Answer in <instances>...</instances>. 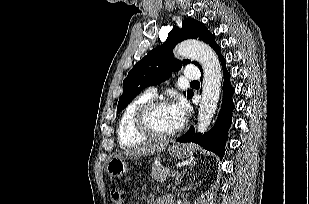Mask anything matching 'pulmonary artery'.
Here are the masks:
<instances>
[{
	"label": "pulmonary artery",
	"instance_id": "obj_1",
	"mask_svg": "<svg viewBox=\"0 0 309 204\" xmlns=\"http://www.w3.org/2000/svg\"><path fill=\"white\" fill-rule=\"evenodd\" d=\"M183 75L186 80H197L200 77V72L196 68H186ZM147 92L154 96L156 94V89L151 87L147 90Z\"/></svg>",
	"mask_w": 309,
	"mask_h": 204
}]
</instances>
